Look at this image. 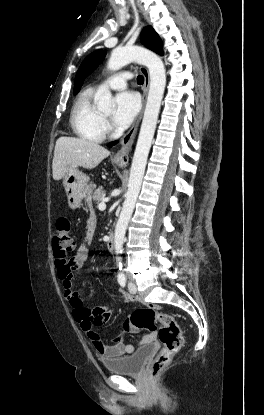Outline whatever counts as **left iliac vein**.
Listing matches in <instances>:
<instances>
[{
    "instance_id": "4c4485c4",
    "label": "left iliac vein",
    "mask_w": 264,
    "mask_h": 415,
    "mask_svg": "<svg viewBox=\"0 0 264 415\" xmlns=\"http://www.w3.org/2000/svg\"><path fill=\"white\" fill-rule=\"evenodd\" d=\"M128 289L131 294H135L137 292L136 285L133 282L128 284Z\"/></svg>"
}]
</instances>
